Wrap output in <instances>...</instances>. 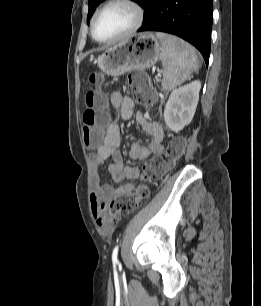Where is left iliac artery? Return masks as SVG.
Here are the masks:
<instances>
[{
    "mask_svg": "<svg viewBox=\"0 0 261 306\" xmlns=\"http://www.w3.org/2000/svg\"><path fill=\"white\" fill-rule=\"evenodd\" d=\"M118 249H119V246L117 245L114 248V250H113V253H112V261H113V263H118V259H117Z\"/></svg>",
    "mask_w": 261,
    "mask_h": 306,
    "instance_id": "1",
    "label": "left iliac artery"
}]
</instances>
